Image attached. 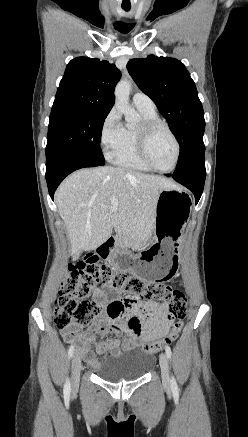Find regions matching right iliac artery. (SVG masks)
<instances>
[{"mask_svg":"<svg viewBox=\"0 0 248 437\" xmlns=\"http://www.w3.org/2000/svg\"><path fill=\"white\" fill-rule=\"evenodd\" d=\"M73 353H74V346L72 345L68 350V357L71 358L73 356ZM70 391H71V385L69 379H67L64 385V395L69 396Z\"/></svg>","mask_w":248,"mask_h":437,"instance_id":"1","label":"right iliac artery"}]
</instances>
